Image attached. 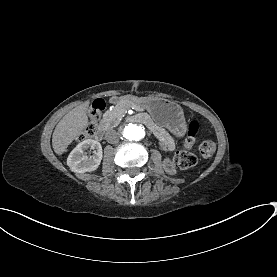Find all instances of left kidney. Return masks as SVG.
Masks as SVG:
<instances>
[{
	"label": "left kidney",
	"instance_id": "obj_1",
	"mask_svg": "<svg viewBox=\"0 0 277 277\" xmlns=\"http://www.w3.org/2000/svg\"><path fill=\"white\" fill-rule=\"evenodd\" d=\"M163 168H164L165 172L169 175L176 174L175 166L172 164V162L169 159H165L163 161Z\"/></svg>",
	"mask_w": 277,
	"mask_h": 277
}]
</instances>
